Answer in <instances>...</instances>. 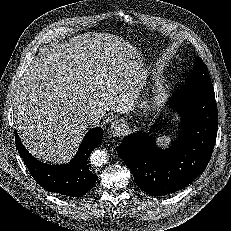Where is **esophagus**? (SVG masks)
<instances>
[{
  "mask_svg": "<svg viewBox=\"0 0 231 231\" xmlns=\"http://www.w3.org/2000/svg\"><path fill=\"white\" fill-rule=\"evenodd\" d=\"M125 129V124L120 120H114L109 128L110 132L117 137L124 135Z\"/></svg>",
  "mask_w": 231,
  "mask_h": 231,
  "instance_id": "1",
  "label": "esophagus"
}]
</instances>
